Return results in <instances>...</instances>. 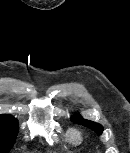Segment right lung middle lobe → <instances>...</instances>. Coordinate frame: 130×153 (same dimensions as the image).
Returning a JSON list of instances; mask_svg holds the SVG:
<instances>
[{
    "instance_id": "right-lung-middle-lobe-1",
    "label": "right lung middle lobe",
    "mask_w": 130,
    "mask_h": 153,
    "mask_svg": "<svg viewBox=\"0 0 130 153\" xmlns=\"http://www.w3.org/2000/svg\"><path fill=\"white\" fill-rule=\"evenodd\" d=\"M18 133L17 120L12 116L0 115V153H8Z\"/></svg>"
}]
</instances>
